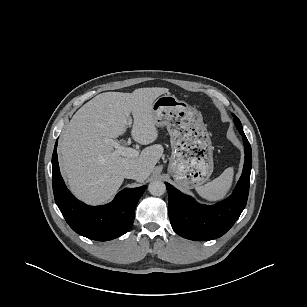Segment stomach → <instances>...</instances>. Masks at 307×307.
Segmentation results:
<instances>
[{
	"instance_id": "1",
	"label": "stomach",
	"mask_w": 307,
	"mask_h": 307,
	"mask_svg": "<svg viewBox=\"0 0 307 307\" xmlns=\"http://www.w3.org/2000/svg\"><path fill=\"white\" fill-rule=\"evenodd\" d=\"M156 126H166L172 154L168 172L182 188L203 185L211 176L213 146L202 115L193 107L165 94L152 104Z\"/></svg>"
}]
</instances>
